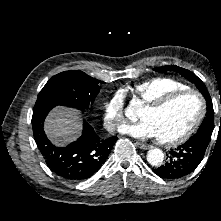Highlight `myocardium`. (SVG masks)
Returning <instances> with one entry per match:
<instances>
[{"label": "myocardium", "instance_id": "1", "mask_svg": "<svg viewBox=\"0 0 221 221\" xmlns=\"http://www.w3.org/2000/svg\"><path fill=\"white\" fill-rule=\"evenodd\" d=\"M183 95H194L198 99L199 112L196 118L194 119V121L192 122V124L182 134L167 140H162L157 138V142L159 144L165 146H176L188 140L193 135V133L198 129L199 125L201 124L205 116L206 113L205 99L199 91L191 88H186V89L169 92L153 102L144 104V108L146 109H149L151 111H159L165 108L167 105H169L172 101Z\"/></svg>", "mask_w": 221, "mask_h": 221}]
</instances>
